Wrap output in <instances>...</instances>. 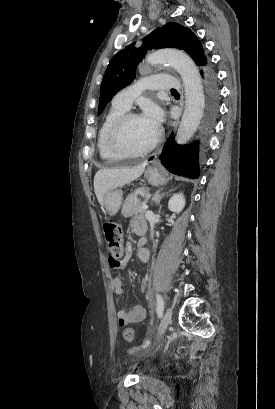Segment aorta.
<instances>
[{
	"label": "aorta",
	"mask_w": 275,
	"mask_h": 409,
	"mask_svg": "<svg viewBox=\"0 0 275 409\" xmlns=\"http://www.w3.org/2000/svg\"><path fill=\"white\" fill-rule=\"evenodd\" d=\"M147 62L151 64L167 62L181 74L185 88V110L177 130L176 140L178 144H185L195 134L204 112L205 94L198 66L188 54L173 48H162L153 52L147 56Z\"/></svg>",
	"instance_id": "1"
}]
</instances>
